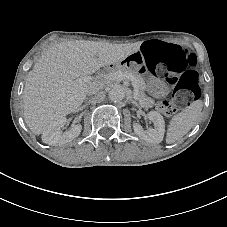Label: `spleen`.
<instances>
[{"instance_id":"1","label":"spleen","mask_w":227,"mask_h":227,"mask_svg":"<svg viewBox=\"0 0 227 227\" xmlns=\"http://www.w3.org/2000/svg\"><path fill=\"white\" fill-rule=\"evenodd\" d=\"M201 110V102H195L174 116L168 128L166 142L174 143L186 135L196 124Z\"/></svg>"}]
</instances>
